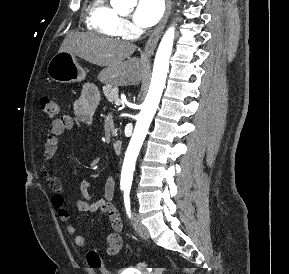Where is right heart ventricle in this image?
<instances>
[{"label": "right heart ventricle", "instance_id": "right-heart-ventricle-1", "mask_svg": "<svg viewBox=\"0 0 289 274\" xmlns=\"http://www.w3.org/2000/svg\"><path fill=\"white\" fill-rule=\"evenodd\" d=\"M85 23L89 30L104 36L118 37L123 34L122 20L108 0H90Z\"/></svg>", "mask_w": 289, "mask_h": 274}]
</instances>
